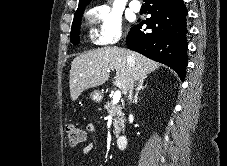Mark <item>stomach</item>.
<instances>
[{"label": "stomach", "instance_id": "obj_1", "mask_svg": "<svg viewBox=\"0 0 227 166\" xmlns=\"http://www.w3.org/2000/svg\"><path fill=\"white\" fill-rule=\"evenodd\" d=\"M90 98L95 101V102H100L103 98L102 93L98 90H94L91 94H90Z\"/></svg>", "mask_w": 227, "mask_h": 166}]
</instances>
